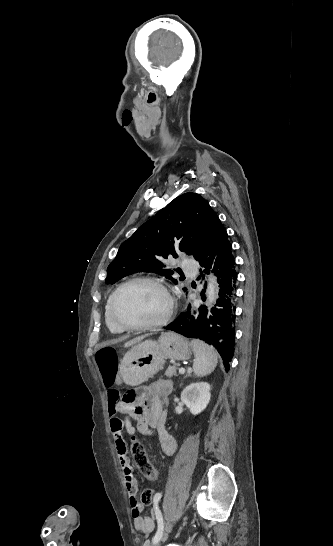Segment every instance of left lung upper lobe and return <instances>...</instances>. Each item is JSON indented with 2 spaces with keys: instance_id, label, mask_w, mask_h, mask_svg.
I'll return each mask as SVG.
<instances>
[{
  "instance_id": "5c2ea615",
  "label": "left lung upper lobe",
  "mask_w": 333,
  "mask_h": 546,
  "mask_svg": "<svg viewBox=\"0 0 333 546\" xmlns=\"http://www.w3.org/2000/svg\"><path fill=\"white\" fill-rule=\"evenodd\" d=\"M217 219L200 195L189 192L176 197L121 244L107 268V284L136 272H155L176 284L166 260L182 252L196 258L208 243Z\"/></svg>"
}]
</instances>
